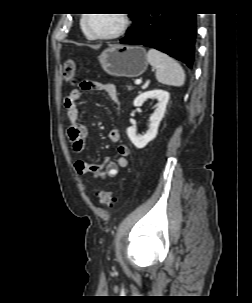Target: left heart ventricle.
<instances>
[{
	"instance_id": "obj_1",
	"label": "left heart ventricle",
	"mask_w": 252,
	"mask_h": 303,
	"mask_svg": "<svg viewBox=\"0 0 252 303\" xmlns=\"http://www.w3.org/2000/svg\"><path fill=\"white\" fill-rule=\"evenodd\" d=\"M120 25L118 14H91L87 28L91 33L104 34L117 29Z\"/></svg>"
}]
</instances>
